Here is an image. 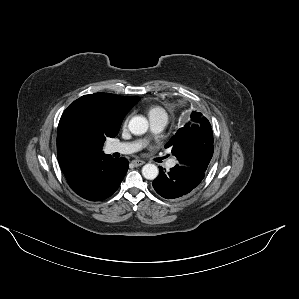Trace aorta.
Segmentation results:
<instances>
[{"mask_svg": "<svg viewBox=\"0 0 299 299\" xmlns=\"http://www.w3.org/2000/svg\"><path fill=\"white\" fill-rule=\"evenodd\" d=\"M128 128L132 134L142 135L148 130V121L143 116H134L129 121ZM158 173V167L154 164H146L142 167V175L148 180H154Z\"/></svg>", "mask_w": 299, "mask_h": 299, "instance_id": "762f6f07", "label": "aorta"}]
</instances>
